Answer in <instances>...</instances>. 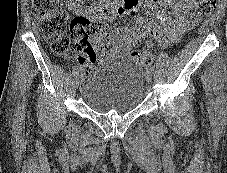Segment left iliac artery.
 Listing matches in <instances>:
<instances>
[{
    "label": "left iliac artery",
    "mask_w": 227,
    "mask_h": 173,
    "mask_svg": "<svg viewBox=\"0 0 227 173\" xmlns=\"http://www.w3.org/2000/svg\"><path fill=\"white\" fill-rule=\"evenodd\" d=\"M146 70H149V71L153 72V71H154V67H153L152 65L149 64V65L146 67Z\"/></svg>",
    "instance_id": "44dca946"
}]
</instances>
